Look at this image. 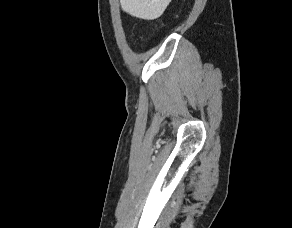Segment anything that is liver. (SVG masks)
I'll return each mask as SVG.
<instances>
[{
    "mask_svg": "<svg viewBox=\"0 0 292 228\" xmlns=\"http://www.w3.org/2000/svg\"><path fill=\"white\" fill-rule=\"evenodd\" d=\"M172 0H120L123 11L131 16L154 20L159 18Z\"/></svg>",
    "mask_w": 292,
    "mask_h": 228,
    "instance_id": "liver-1",
    "label": "liver"
}]
</instances>
